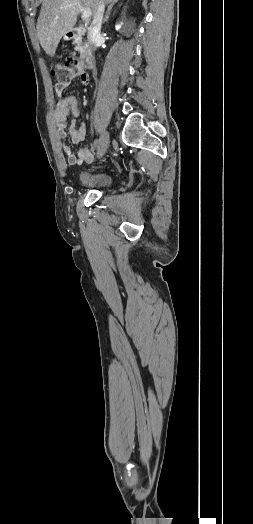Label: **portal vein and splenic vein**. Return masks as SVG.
<instances>
[{"label":"portal vein and splenic vein","mask_w":253,"mask_h":524,"mask_svg":"<svg viewBox=\"0 0 253 524\" xmlns=\"http://www.w3.org/2000/svg\"><path fill=\"white\" fill-rule=\"evenodd\" d=\"M68 7H76L80 12H82V19L84 21H87L91 17L90 9L84 7L83 5H81L78 2H73V3L67 4L64 6V8H68Z\"/></svg>","instance_id":"1"}]
</instances>
